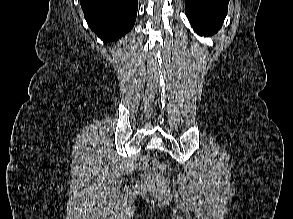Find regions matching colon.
Returning <instances> with one entry per match:
<instances>
[{"label": "colon", "instance_id": "colon-1", "mask_svg": "<svg viewBox=\"0 0 293 219\" xmlns=\"http://www.w3.org/2000/svg\"><path fill=\"white\" fill-rule=\"evenodd\" d=\"M142 167L146 171H158L159 173H164L167 169V165L165 163H159L153 157H145L142 160ZM146 188L147 186L144 180L139 179L136 182L135 189L138 193H144Z\"/></svg>", "mask_w": 293, "mask_h": 219}]
</instances>
